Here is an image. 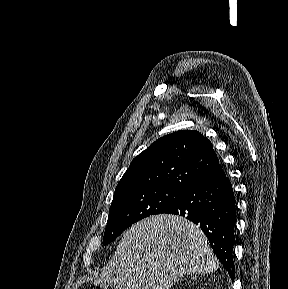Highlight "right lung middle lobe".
<instances>
[{"instance_id":"obj_1","label":"right lung middle lobe","mask_w":288,"mask_h":289,"mask_svg":"<svg viewBox=\"0 0 288 289\" xmlns=\"http://www.w3.org/2000/svg\"><path fill=\"white\" fill-rule=\"evenodd\" d=\"M185 189L173 187L142 188L114 194L103 244H109L133 223L170 209Z\"/></svg>"}]
</instances>
